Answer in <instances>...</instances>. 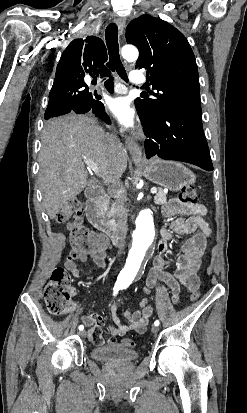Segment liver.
Here are the masks:
<instances>
[{
  "instance_id": "liver-1",
  "label": "liver",
  "mask_w": 247,
  "mask_h": 413,
  "mask_svg": "<svg viewBox=\"0 0 247 413\" xmlns=\"http://www.w3.org/2000/svg\"><path fill=\"white\" fill-rule=\"evenodd\" d=\"M39 152V184L49 219H55L69 198L86 186L84 160L98 164L104 182L123 174L128 154L122 142L113 144L98 122L85 114H66L45 122Z\"/></svg>"
}]
</instances>
